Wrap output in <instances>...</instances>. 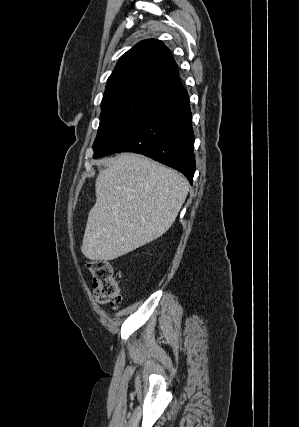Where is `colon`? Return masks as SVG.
Instances as JSON below:
<instances>
[{
	"instance_id": "obj_1",
	"label": "colon",
	"mask_w": 299,
	"mask_h": 427,
	"mask_svg": "<svg viewBox=\"0 0 299 427\" xmlns=\"http://www.w3.org/2000/svg\"><path fill=\"white\" fill-rule=\"evenodd\" d=\"M86 266L93 279L97 302L111 307L120 305L121 287L111 263L106 260H89Z\"/></svg>"
}]
</instances>
